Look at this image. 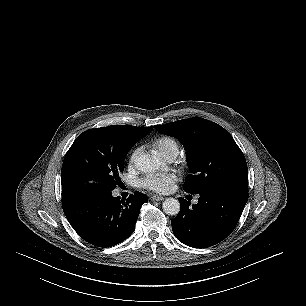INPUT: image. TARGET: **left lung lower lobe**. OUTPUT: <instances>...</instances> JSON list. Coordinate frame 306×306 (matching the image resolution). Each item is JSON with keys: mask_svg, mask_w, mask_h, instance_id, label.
I'll return each instance as SVG.
<instances>
[{"mask_svg": "<svg viewBox=\"0 0 306 306\" xmlns=\"http://www.w3.org/2000/svg\"><path fill=\"white\" fill-rule=\"evenodd\" d=\"M198 203L179 198L181 209L171 220L172 230L182 243L196 248L213 246L236 227L248 199V192L213 189L199 193Z\"/></svg>", "mask_w": 306, "mask_h": 306, "instance_id": "obj_1", "label": "left lung lower lobe"}]
</instances>
